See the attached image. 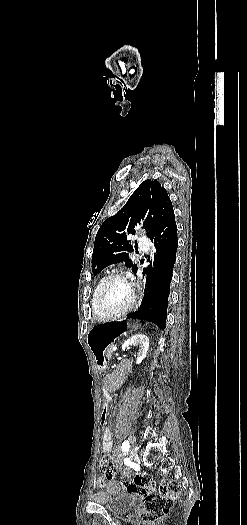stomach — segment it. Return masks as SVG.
I'll return each instance as SVG.
<instances>
[{"instance_id":"1","label":"stomach","mask_w":247,"mask_h":525,"mask_svg":"<svg viewBox=\"0 0 247 525\" xmlns=\"http://www.w3.org/2000/svg\"><path fill=\"white\" fill-rule=\"evenodd\" d=\"M137 324L126 319L94 325L87 335V345L99 369L106 367L104 351L120 336L137 329Z\"/></svg>"}]
</instances>
